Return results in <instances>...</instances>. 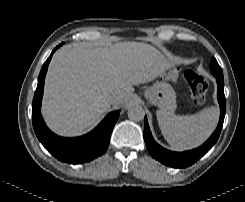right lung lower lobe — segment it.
I'll return each mask as SVG.
<instances>
[{
  "mask_svg": "<svg viewBox=\"0 0 245 202\" xmlns=\"http://www.w3.org/2000/svg\"><path fill=\"white\" fill-rule=\"evenodd\" d=\"M56 49L57 47L44 63L38 78V85L32 103L33 127L39 141L58 160L72 164L88 162L101 156L107 150L111 132L119 117V111L108 114L92 132L85 136L64 138L52 133L45 125L40 109L45 76Z\"/></svg>",
  "mask_w": 245,
  "mask_h": 202,
  "instance_id": "obj_1",
  "label": "right lung lower lobe"
}]
</instances>
